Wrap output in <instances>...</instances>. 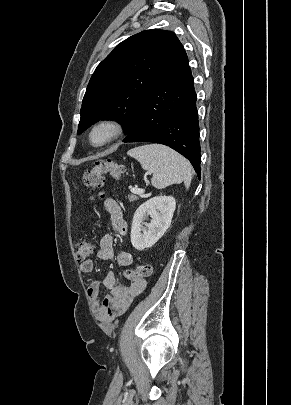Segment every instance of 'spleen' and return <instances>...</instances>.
Masks as SVG:
<instances>
[{
    "mask_svg": "<svg viewBox=\"0 0 291 405\" xmlns=\"http://www.w3.org/2000/svg\"><path fill=\"white\" fill-rule=\"evenodd\" d=\"M127 154L153 174L151 182L154 187L163 189L182 182L186 189L190 187L192 173L189 162L167 146L149 144L133 148Z\"/></svg>",
    "mask_w": 291,
    "mask_h": 405,
    "instance_id": "obj_1",
    "label": "spleen"
}]
</instances>
